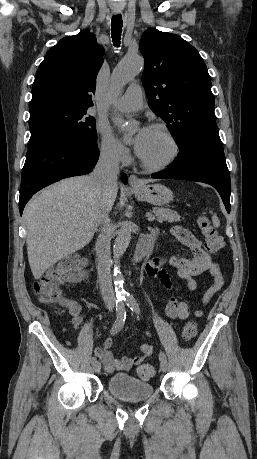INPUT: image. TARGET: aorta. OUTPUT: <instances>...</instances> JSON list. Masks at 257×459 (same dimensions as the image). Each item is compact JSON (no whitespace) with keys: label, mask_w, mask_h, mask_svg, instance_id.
Masks as SVG:
<instances>
[{"label":"aorta","mask_w":257,"mask_h":459,"mask_svg":"<svg viewBox=\"0 0 257 459\" xmlns=\"http://www.w3.org/2000/svg\"><path fill=\"white\" fill-rule=\"evenodd\" d=\"M143 65L144 60L139 55L124 57V59L116 66L112 73L110 82L111 95L119 94L122 88L140 72ZM114 120L117 125L125 131V138H127L132 133L133 123L131 121L123 120L119 117H116ZM131 231V223L129 221H123L120 225L118 235L113 246V260L115 264L118 263L129 246L131 240ZM114 284L117 297L124 296L126 292L123 288V276L118 271L117 266L114 269Z\"/></svg>","instance_id":"762f6f07"}]
</instances>
